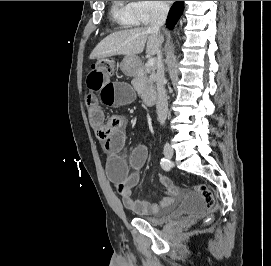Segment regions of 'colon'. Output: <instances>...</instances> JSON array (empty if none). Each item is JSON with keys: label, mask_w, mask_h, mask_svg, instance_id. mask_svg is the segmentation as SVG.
I'll return each mask as SVG.
<instances>
[{"label": "colon", "mask_w": 271, "mask_h": 266, "mask_svg": "<svg viewBox=\"0 0 271 266\" xmlns=\"http://www.w3.org/2000/svg\"><path fill=\"white\" fill-rule=\"evenodd\" d=\"M94 67L107 73H113L115 71V62L111 58H103L98 60ZM194 190L202 197L207 208L213 211L216 207V200L209 188L205 184H197L194 186Z\"/></svg>", "instance_id": "5ec220e1"}]
</instances>
